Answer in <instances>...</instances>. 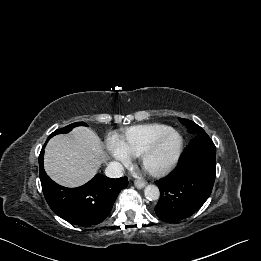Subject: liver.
<instances>
[{"label": "liver", "mask_w": 261, "mask_h": 261, "mask_svg": "<svg viewBox=\"0 0 261 261\" xmlns=\"http://www.w3.org/2000/svg\"><path fill=\"white\" fill-rule=\"evenodd\" d=\"M105 161L100 138L91 129L77 127L67 135H57L47 144L46 173L56 183L77 187L88 182Z\"/></svg>", "instance_id": "obj_1"}]
</instances>
